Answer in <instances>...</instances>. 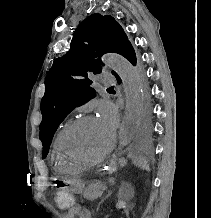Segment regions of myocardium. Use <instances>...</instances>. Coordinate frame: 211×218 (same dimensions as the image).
Returning a JSON list of instances; mask_svg holds the SVG:
<instances>
[{"label": "myocardium", "mask_w": 211, "mask_h": 218, "mask_svg": "<svg viewBox=\"0 0 211 218\" xmlns=\"http://www.w3.org/2000/svg\"><path fill=\"white\" fill-rule=\"evenodd\" d=\"M95 118L96 117L94 115H85V116H81L78 119L72 121V123L68 126V128L66 129V131L64 132V135H63L61 156L67 158L66 148L68 146L69 139H70V136L73 133V131L77 127H79L81 124H83L84 122L90 121V120L95 119ZM116 143H117V135L113 132L112 142L104 152H102L101 154L97 155L96 157H94L92 159H88V160L80 161V160L70 159L71 163H73L74 165L84 166V167L94 165V164L104 160L106 157H108L112 153V151L114 150Z\"/></svg>", "instance_id": "obj_1"}]
</instances>
